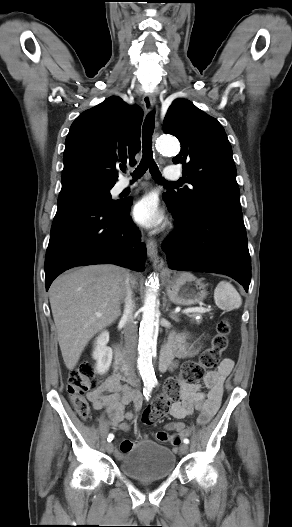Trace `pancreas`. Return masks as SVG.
<instances>
[{
  "label": "pancreas",
  "instance_id": "obj_1",
  "mask_svg": "<svg viewBox=\"0 0 292 527\" xmlns=\"http://www.w3.org/2000/svg\"><path fill=\"white\" fill-rule=\"evenodd\" d=\"M190 317H191V321H192V322H195V323H197V324H199V323L201 322L200 313H198V312H194V313H192V314L190 315ZM197 317H199V318H197Z\"/></svg>",
  "mask_w": 292,
  "mask_h": 527
}]
</instances>
